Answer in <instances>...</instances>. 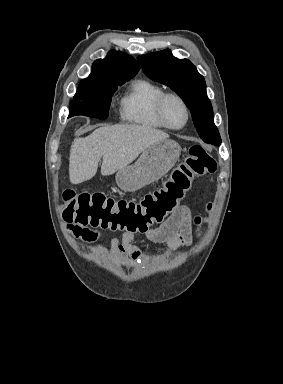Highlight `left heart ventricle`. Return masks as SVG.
I'll list each match as a JSON object with an SVG mask.
<instances>
[{"label": "left heart ventricle", "mask_w": 283, "mask_h": 384, "mask_svg": "<svg viewBox=\"0 0 283 384\" xmlns=\"http://www.w3.org/2000/svg\"><path fill=\"white\" fill-rule=\"evenodd\" d=\"M164 114L167 122L173 127H179L185 121V111L181 103L175 98L167 100Z\"/></svg>", "instance_id": "obj_1"}]
</instances>
